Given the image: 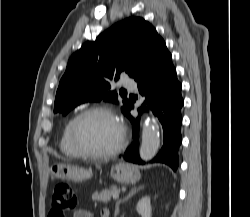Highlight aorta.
Returning <instances> with one entry per match:
<instances>
[{
    "mask_svg": "<svg viewBox=\"0 0 250 217\" xmlns=\"http://www.w3.org/2000/svg\"><path fill=\"white\" fill-rule=\"evenodd\" d=\"M160 146V133L155 121L147 120L143 125L142 143L139 155L142 160L149 161L157 153Z\"/></svg>",
    "mask_w": 250,
    "mask_h": 217,
    "instance_id": "aorta-1",
    "label": "aorta"
}]
</instances>
